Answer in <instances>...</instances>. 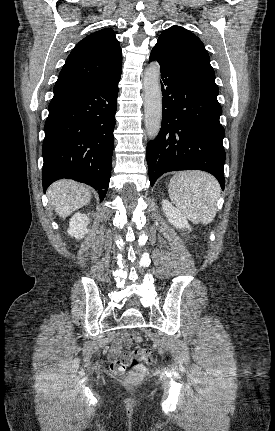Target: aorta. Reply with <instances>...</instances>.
Instances as JSON below:
<instances>
[{
  "label": "aorta",
  "mask_w": 275,
  "mask_h": 431,
  "mask_svg": "<svg viewBox=\"0 0 275 431\" xmlns=\"http://www.w3.org/2000/svg\"><path fill=\"white\" fill-rule=\"evenodd\" d=\"M144 113L147 135L155 139L161 128L162 121V92L160 86V65L151 62L144 74Z\"/></svg>",
  "instance_id": "762f6f07"
}]
</instances>
